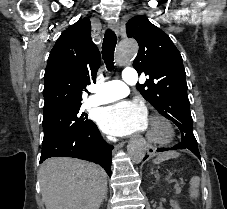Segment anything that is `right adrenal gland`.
<instances>
[{
  "label": "right adrenal gland",
  "instance_id": "1",
  "mask_svg": "<svg viewBox=\"0 0 227 209\" xmlns=\"http://www.w3.org/2000/svg\"><path fill=\"white\" fill-rule=\"evenodd\" d=\"M104 199H105V201H107V193H106V195H105Z\"/></svg>",
  "mask_w": 227,
  "mask_h": 209
}]
</instances>
